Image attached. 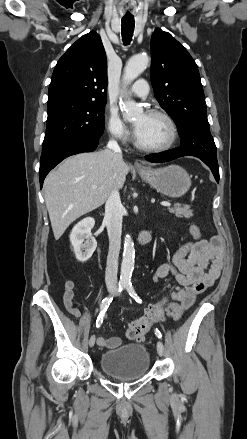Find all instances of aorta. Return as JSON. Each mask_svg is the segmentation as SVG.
<instances>
[{
  "label": "aorta",
  "mask_w": 247,
  "mask_h": 439,
  "mask_svg": "<svg viewBox=\"0 0 247 439\" xmlns=\"http://www.w3.org/2000/svg\"><path fill=\"white\" fill-rule=\"evenodd\" d=\"M149 57L146 54H138L131 57L124 68L123 80L129 85L136 79L148 66ZM124 119L131 121L138 118L143 109L135 101L126 98L122 103ZM135 249L132 238L126 235L124 239L123 259L121 263L120 283L128 284L130 282L132 272L134 270Z\"/></svg>",
  "instance_id": "obj_1"
}]
</instances>
